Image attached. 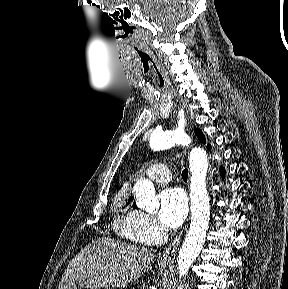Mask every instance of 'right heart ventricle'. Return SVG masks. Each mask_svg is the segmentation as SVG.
<instances>
[{"label":"right heart ventricle","mask_w":288,"mask_h":289,"mask_svg":"<svg viewBox=\"0 0 288 289\" xmlns=\"http://www.w3.org/2000/svg\"><path fill=\"white\" fill-rule=\"evenodd\" d=\"M115 219L114 229L122 237L134 242H141L132 228L133 220L137 210H134L128 201V194L125 189H121L115 197Z\"/></svg>","instance_id":"right-heart-ventricle-1"}]
</instances>
